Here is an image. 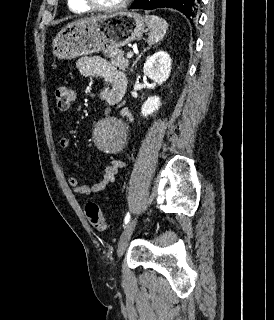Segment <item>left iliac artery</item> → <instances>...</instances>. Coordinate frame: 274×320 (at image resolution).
Here are the masks:
<instances>
[{"label": "left iliac artery", "instance_id": "44dca946", "mask_svg": "<svg viewBox=\"0 0 274 320\" xmlns=\"http://www.w3.org/2000/svg\"><path fill=\"white\" fill-rule=\"evenodd\" d=\"M129 220H130V214L127 213L126 216H125V219H124V224L127 225Z\"/></svg>", "mask_w": 274, "mask_h": 320}]
</instances>
